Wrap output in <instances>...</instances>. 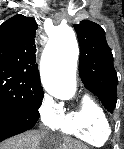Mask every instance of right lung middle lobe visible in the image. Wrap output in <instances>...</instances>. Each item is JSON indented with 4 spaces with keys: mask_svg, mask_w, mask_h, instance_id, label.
Returning <instances> with one entry per match:
<instances>
[{
    "mask_svg": "<svg viewBox=\"0 0 124 149\" xmlns=\"http://www.w3.org/2000/svg\"><path fill=\"white\" fill-rule=\"evenodd\" d=\"M44 92L24 75L0 68V110L39 114Z\"/></svg>",
    "mask_w": 124,
    "mask_h": 149,
    "instance_id": "right-lung-middle-lobe-1",
    "label": "right lung middle lobe"
}]
</instances>
